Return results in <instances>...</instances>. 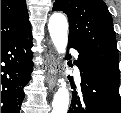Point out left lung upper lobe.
<instances>
[{
	"mask_svg": "<svg viewBox=\"0 0 121 113\" xmlns=\"http://www.w3.org/2000/svg\"><path fill=\"white\" fill-rule=\"evenodd\" d=\"M53 11L69 20V42L120 79L119 57L112 17L102 0H56Z\"/></svg>",
	"mask_w": 121,
	"mask_h": 113,
	"instance_id": "left-lung-upper-lobe-1",
	"label": "left lung upper lobe"
}]
</instances>
